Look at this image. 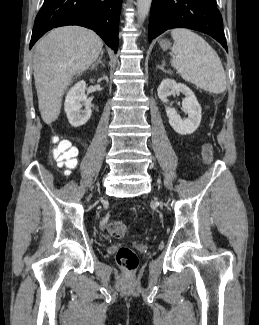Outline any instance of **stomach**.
Wrapping results in <instances>:
<instances>
[{
  "mask_svg": "<svg viewBox=\"0 0 259 325\" xmlns=\"http://www.w3.org/2000/svg\"><path fill=\"white\" fill-rule=\"evenodd\" d=\"M162 49L166 50L170 47V42L168 40H161L159 42Z\"/></svg>",
  "mask_w": 259,
  "mask_h": 325,
  "instance_id": "0dacf381",
  "label": "stomach"
}]
</instances>
